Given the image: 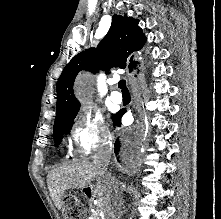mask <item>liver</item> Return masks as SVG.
<instances>
[{
    "label": "liver",
    "mask_w": 221,
    "mask_h": 219,
    "mask_svg": "<svg viewBox=\"0 0 221 219\" xmlns=\"http://www.w3.org/2000/svg\"><path fill=\"white\" fill-rule=\"evenodd\" d=\"M93 178L97 180L94 192L99 198V206L104 209V214H106L113 205L115 183L119 187V182L113 176L111 178L99 176L93 162L73 161L49 172L47 186L54 205L60 210L66 190L86 188L91 184Z\"/></svg>",
    "instance_id": "1"
}]
</instances>
